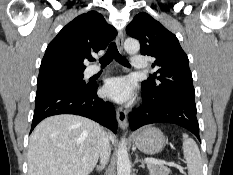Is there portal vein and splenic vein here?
Returning <instances> with one entry per match:
<instances>
[{
  "label": "portal vein and splenic vein",
  "mask_w": 233,
  "mask_h": 175,
  "mask_svg": "<svg viewBox=\"0 0 233 175\" xmlns=\"http://www.w3.org/2000/svg\"><path fill=\"white\" fill-rule=\"evenodd\" d=\"M144 162L147 164H155V165L167 164V162H165L163 160H157V159H153V158H145Z\"/></svg>",
  "instance_id": "18ae733b"
}]
</instances>
